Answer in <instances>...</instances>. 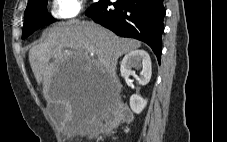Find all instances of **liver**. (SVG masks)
Masks as SVG:
<instances>
[{
	"mask_svg": "<svg viewBox=\"0 0 227 142\" xmlns=\"http://www.w3.org/2000/svg\"><path fill=\"white\" fill-rule=\"evenodd\" d=\"M43 41L29 50V62L38 84H42L43 97L51 103L66 106L67 116L62 129L65 134L81 117L83 102L91 98L98 88L96 81L107 80L119 87L116 66L118 58L141 47V42L120 38L110 30L93 22L71 20L58 22L47 28ZM95 56V57H94ZM54 60L50 62V59ZM63 61H90L89 73L81 88H74L71 81L55 78L63 73Z\"/></svg>",
	"mask_w": 227,
	"mask_h": 142,
	"instance_id": "liver-1",
	"label": "liver"
}]
</instances>
